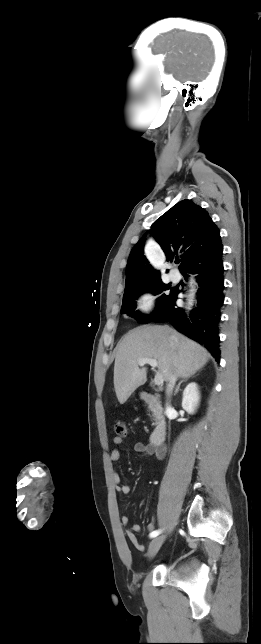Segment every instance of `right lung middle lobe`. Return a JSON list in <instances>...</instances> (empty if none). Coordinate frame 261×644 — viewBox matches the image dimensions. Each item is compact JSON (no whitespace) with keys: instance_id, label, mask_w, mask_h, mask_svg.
<instances>
[{"instance_id":"1","label":"right lung middle lobe","mask_w":261,"mask_h":644,"mask_svg":"<svg viewBox=\"0 0 261 644\" xmlns=\"http://www.w3.org/2000/svg\"><path fill=\"white\" fill-rule=\"evenodd\" d=\"M168 289H170L169 293H163ZM144 292H152L155 295L161 294L157 299V307L155 312L149 316L142 315L138 311H135V299H137L138 296ZM175 294L176 289L171 288L170 284H165L161 280L133 285L125 289L121 313L132 315V317L136 318L139 323L146 324L148 322H151L155 317H157L164 311Z\"/></svg>"}]
</instances>
